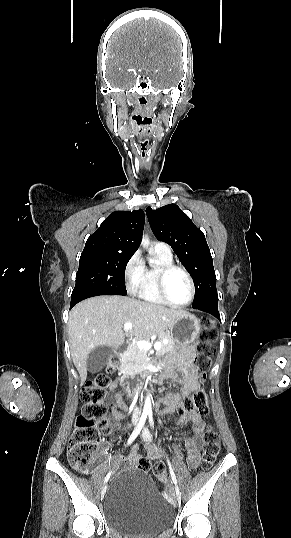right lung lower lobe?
Returning a JSON list of instances; mask_svg holds the SVG:
<instances>
[{
  "mask_svg": "<svg viewBox=\"0 0 291 538\" xmlns=\"http://www.w3.org/2000/svg\"><path fill=\"white\" fill-rule=\"evenodd\" d=\"M84 299H86V298H84ZM81 300H83V299L76 300V301H71L70 309H71L75 304H77L78 302H80Z\"/></svg>",
  "mask_w": 291,
  "mask_h": 538,
  "instance_id": "1",
  "label": "right lung lower lobe"
}]
</instances>
